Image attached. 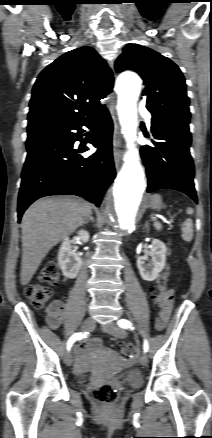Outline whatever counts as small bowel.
Listing matches in <instances>:
<instances>
[{
    "label": "small bowel",
    "instance_id": "small-bowel-1",
    "mask_svg": "<svg viewBox=\"0 0 212 438\" xmlns=\"http://www.w3.org/2000/svg\"><path fill=\"white\" fill-rule=\"evenodd\" d=\"M157 306V316H156V329L162 330L171 315L173 302H174V292L172 290L166 291L160 297L154 299ZM65 305L62 301L56 300L50 304L46 313V323L51 329H57L64 318ZM88 348L99 349L100 344L98 342L88 344H81L78 348L77 362L73 368L75 374H81L85 372L89 367V361L87 356Z\"/></svg>",
    "mask_w": 212,
    "mask_h": 438
}]
</instances>
